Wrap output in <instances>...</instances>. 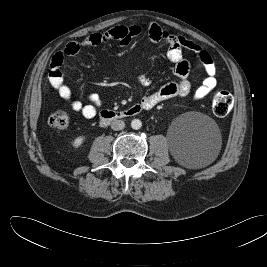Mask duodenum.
Masks as SVG:
<instances>
[{"label":"duodenum","instance_id":"1","mask_svg":"<svg viewBox=\"0 0 267 267\" xmlns=\"http://www.w3.org/2000/svg\"><path fill=\"white\" fill-rule=\"evenodd\" d=\"M143 110L142 106L135 104L123 110H103L100 114L101 123H108L115 120L125 119L138 115Z\"/></svg>","mask_w":267,"mask_h":267}]
</instances>
